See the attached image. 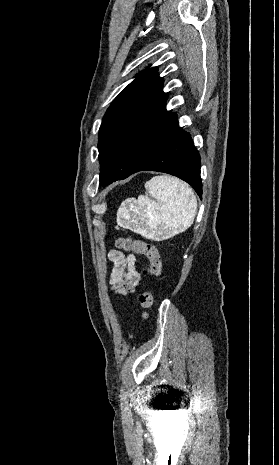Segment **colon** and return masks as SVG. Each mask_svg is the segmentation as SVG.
<instances>
[{
	"label": "colon",
	"instance_id": "colon-1",
	"mask_svg": "<svg viewBox=\"0 0 279 465\" xmlns=\"http://www.w3.org/2000/svg\"><path fill=\"white\" fill-rule=\"evenodd\" d=\"M115 244L118 248L124 251L141 254L146 257L149 261V266L145 270L146 275L153 277L158 276L161 273V256L155 244L145 242L133 236L118 238L115 241ZM138 302L142 308H150L153 304V294L149 291L140 294Z\"/></svg>",
	"mask_w": 279,
	"mask_h": 465
}]
</instances>
